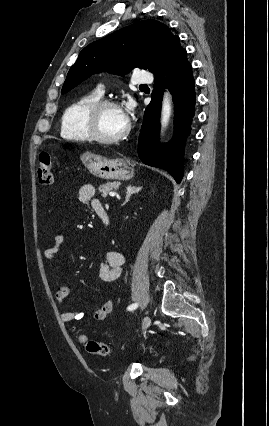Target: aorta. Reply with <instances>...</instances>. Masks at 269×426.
<instances>
[{
    "label": "aorta",
    "instance_id": "762f6f07",
    "mask_svg": "<svg viewBox=\"0 0 269 426\" xmlns=\"http://www.w3.org/2000/svg\"><path fill=\"white\" fill-rule=\"evenodd\" d=\"M171 96L169 92H165L163 101H162V110H161V126L162 132L167 127L170 117H171Z\"/></svg>",
    "mask_w": 269,
    "mask_h": 426
}]
</instances>
